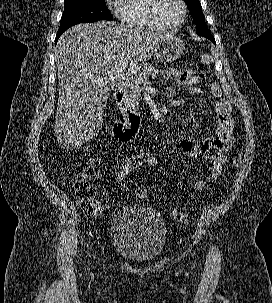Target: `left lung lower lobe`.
<instances>
[{
  "instance_id": "1",
  "label": "left lung lower lobe",
  "mask_w": 272,
  "mask_h": 303,
  "mask_svg": "<svg viewBox=\"0 0 272 303\" xmlns=\"http://www.w3.org/2000/svg\"><path fill=\"white\" fill-rule=\"evenodd\" d=\"M206 38L209 39V40H211L214 44H216V43H215V39H214L213 36H211V37H206Z\"/></svg>"
}]
</instances>
